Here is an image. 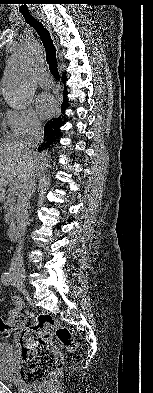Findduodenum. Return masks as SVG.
I'll return each instance as SVG.
<instances>
[{"label":"duodenum","mask_w":153,"mask_h":393,"mask_svg":"<svg viewBox=\"0 0 153 393\" xmlns=\"http://www.w3.org/2000/svg\"><path fill=\"white\" fill-rule=\"evenodd\" d=\"M19 228L16 222H12L8 228V236L9 238L15 240L18 237Z\"/></svg>","instance_id":"obj_1"}]
</instances>
